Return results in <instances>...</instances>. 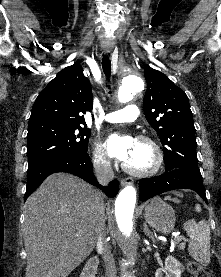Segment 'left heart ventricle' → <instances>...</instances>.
I'll list each match as a JSON object with an SVG mask.
<instances>
[{
    "label": "left heart ventricle",
    "instance_id": "left-heart-ventricle-1",
    "mask_svg": "<svg viewBox=\"0 0 221 277\" xmlns=\"http://www.w3.org/2000/svg\"><path fill=\"white\" fill-rule=\"evenodd\" d=\"M153 161L152 149L147 144L136 141L133 152L125 163L131 168L143 170L149 168Z\"/></svg>",
    "mask_w": 221,
    "mask_h": 277
}]
</instances>
